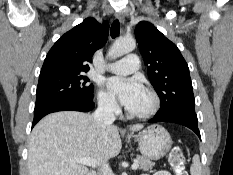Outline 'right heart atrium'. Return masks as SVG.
Returning a JSON list of instances; mask_svg holds the SVG:
<instances>
[{
    "mask_svg": "<svg viewBox=\"0 0 233 175\" xmlns=\"http://www.w3.org/2000/svg\"><path fill=\"white\" fill-rule=\"evenodd\" d=\"M98 106L105 112L115 114L118 111V103L115 97L103 88L97 93Z\"/></svg>",
    "mask_w": 233,
    "mask_h": 175,
    "instance_id": "1",
    "label": "right heart atrium"
}]
</instances>
